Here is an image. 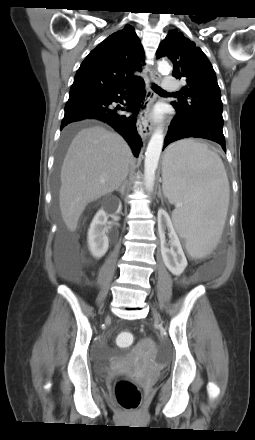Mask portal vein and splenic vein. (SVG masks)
I'll list each match as a JSON object with an SVG mask.
<instances>
[{
	"mask_svg": "<svg viewBox=\"0 0 255 440\" xmlns=\"http://www.w3.org/2000/svg\"><path fill=\"white\" fill-rule=\"evenodd\" d=\"M176 206H177V207H179L180 205H179V204H177Z\"/></svg>",
	"mask_w": 255,
	"mask_h": 440,
	"instance_id": "18ae733b",
	"label": "portal vein and splenic vein"
}]
</instances>
